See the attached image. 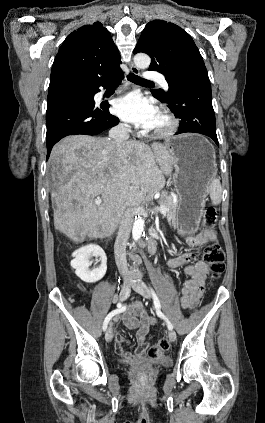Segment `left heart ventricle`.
Wrapping results in <instances>:
<instances>
[{"mask_svg": "<svg viewBox=\"0 0 265 423\" xmlns=\"http://www.w3.org/2000/svg\"><path fill=\"white\" fill-rule=\"evenodd\" d=\"M166 125V120L164 119V117L160 114V112H158L152 126L150 129H159L162 128Z\"/></svg>", "mask_w": 265, "mask_h": 423, "instance_id": "left-heart-ventricle-1", "label": "left heart ventricle"}]
</instances>
